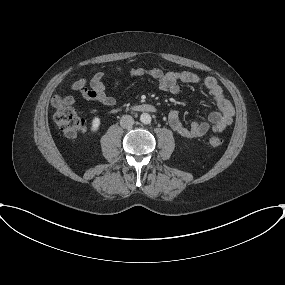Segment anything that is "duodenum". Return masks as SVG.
I'll return each mask as SVG.
<instances>
[{
  "label": "duodenum",
  "mask_w": 285,
  "mask_h": 285,
  "mask_svg": "<svg viewBox=\"0 0 285 285\" xmlns=\"http://www.w3.org/2000/svg\"><path fill=\"white\" fill-rule=\"evenodd\" d=\"M137 109L142 112H154L155 111V107L149 104H141L137 107Z\"/></svg>",
  "instance_id": "410a0bca"
}]
</instances>
